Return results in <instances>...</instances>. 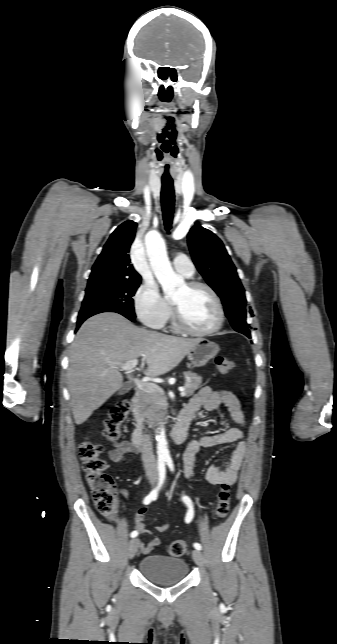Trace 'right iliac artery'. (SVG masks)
<instances>
[{
	"label": "right iliac artery",
	"mask_w": 337,
	"mask_h": 644,
	"mask_svg": "<svg viewBox=\"0 0 337 644\" xmlns=\"http://www.w3.org/2000/svg\"><path fill=\"white\" fill-rule=\"evenodd\" d=\"M158 471H159V482L158 485L150 492L148 496H146L143 500V503L145 505L150 504L153 500H156L158 496V492L164 482V479L166 477V467H165V460L164 459H159L158 460ZM138 535L137 531L131 532L130 536L132 538L136 537Z\"/></svg>",
	"instance_id": "right-iliac-artery-1"
}]
</instances>
